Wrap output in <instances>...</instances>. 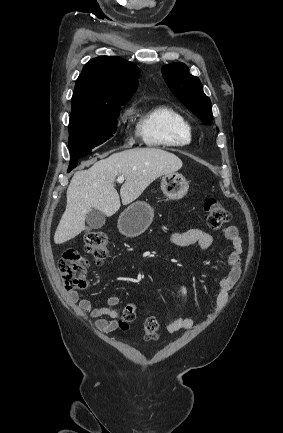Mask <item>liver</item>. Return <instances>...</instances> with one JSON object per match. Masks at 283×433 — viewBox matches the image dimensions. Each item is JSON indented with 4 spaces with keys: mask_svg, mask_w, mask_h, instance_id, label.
<instances>
[{
    "mask_svg": "<svg viewBox=\"0 0 283 433\" xmlns=\"http://www.w3.org/2000/svg\"><path fill=\"white\" fill-rule=\"evenodd\" d=\"M182 160L161 148H128L94 162L88 170H77L67 188V204L55 231L54 243L61 245L85 231V217L91 208L112 217L122 204H129L162 174L175 172ZM116 176H125L120 196Z\"/></svg>",
    "mask_w": 283,
    "mask_h": 433,
    "instance_id": "6515ba94",
    "label": "liver"
}]
</instances>
